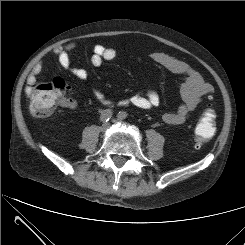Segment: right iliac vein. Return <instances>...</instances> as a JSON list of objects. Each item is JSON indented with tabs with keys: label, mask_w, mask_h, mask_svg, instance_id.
<instances>
[{
	"label": "right iliac vein",
	"mask_w": 245,
	"mask_h": 245,
	"mask_svg": "<svg viewBox=\"0 0 245 245\" xmlns=\"http://www.w3.org/2000/svg\"><path fill=\"white\" fill-rule=\"evenodd\" d=\"M110 127V124L109 123H104L102 126H101V131L102 132H106Z\"/></svg>",
	"instance_id": "63e3f726"
}]
</instances>
